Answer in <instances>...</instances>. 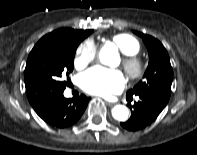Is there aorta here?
Masks as SVG:
<instances>
[{"mask_svg": "<svg viewBox=\"0 0 197 155\" xmlns=\"http://www.w3.org/2000/svg\"><path fill=\"white\" fill-rule=\"evenodd\" d=\"M115 54L116 49L113 46L105 45L99 53L100 62L109 65L111 59L115 56ZM128 115V108L124 105H116L112 109V116L118 121H126L128 119Z\"/></svg>", "mask_w": 197, "mask_h": 155, "instance_id": "1", "label": "aorta"}]
</instances>
